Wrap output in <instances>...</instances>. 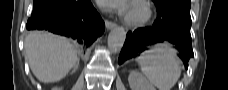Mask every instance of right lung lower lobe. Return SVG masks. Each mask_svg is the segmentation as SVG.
<instances>
[{"label":"right lung lower lobe","instance_id":"98d812e1","mask_svg":"<svg viewBox=\"0 0 228 90\" xmlns=\"http://www.w3.org/2000/svg\"><path fill=\"white\" fill-rule=\"evenodd\" d=\"M26 28L70 37L86 49L103 34L105 24L90 0H34Z\"/></svg>","mask_w":228,"mask_h":90}]
</instances>
